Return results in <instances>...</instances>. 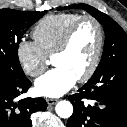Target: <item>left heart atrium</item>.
I'll return each instance as SVG.
<instances>
[{"label": "left heart atrium", "instance_id": "39dd6f15", "mask_svg": "<svg viewBox=\"0 0 127 127\" xmlns=\"http://www.w3.org/2000/svg\"><path fill=\"white\" fill-rule=\"evenodd\" d=\"M77 77L64 67H55L35 82V90L41 96L59 97L70 90Z\"/></svg>", "mask_w": 127, "mask_h": 127}]
</instances>
